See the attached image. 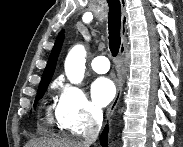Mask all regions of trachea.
Segmentation results:
<instances>
[{
    "label": "trachea",
    "instance_id": "3493384b",
    "mask_svg": "<svg viewBox=\"0 0 183 147\" xmlns=\"http://www.w3.org/2000/svg\"><path fill=\"white\" fill-rule=\"evenodd\" d=\"M109 16H108V31H109V47L113 57H116L120 44V29H121V5L119 0H108Z\"/></svg>",
    "mask_w": 183,
    "mask_h": 147
}]
</instances>
